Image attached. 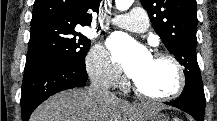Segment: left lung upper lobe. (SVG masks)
<instances>
[{
	"label": "left lung upper lobe",
	"mask_w": 217,
	"mask_h": 121,
	"mask_svg": "<svg viewBox=\"0 0 217 121\" xmlns=\"http://www.w3.org/2000/svg\"><path fill=\"white\" fill-rule=\"evenodd\" d=\"M155 32L184 66L187 82L203 89L196 59V0H141Z\"/></svg>",
	"instance_id": "obj_1"
}]
</instances>
